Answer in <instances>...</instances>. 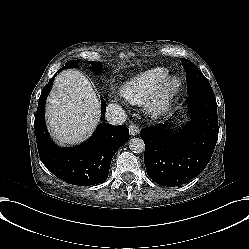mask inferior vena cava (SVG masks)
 Segmentation results:
<instances>
[{
    "mask_svg": "<svg viewBox=\"0 0 249 249\" xmlns=\"http://www.w3.org/2000/svg\"><path fill=\"white\" fill-rule=\"evenodd\" d=\"M125 110L117 103H111L106 109V120L112 125H121L126 121Z\"/></svg>",
    "mask_w": 249,
    "mask_h": 249,
    "instance_id": "602c4592",
    "label": "inferior vena cava"
}]
</instances>
